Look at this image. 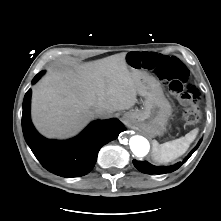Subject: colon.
Here are the masks:
<instances>
[{
  "instance_id": "5ec220e1",
  "label": "colon",
  "mask_w": 221,
  "mask_h": 221,
  "mask_svg": "<svg viewBox=\"0 0 221 221\" xmlns=\"http://www.w3.org/2000/svg\"><path fill=\"white\" fill-rule=\"evenodd\" d=\"M130 63L135 68L153 71L155 76L167 84L168 91L179 100L188 122L195 123L199 120L197 92L189 83V71L182 61L173 56L150 52L132 55Z\"/></svg>"
}]
</instances>
